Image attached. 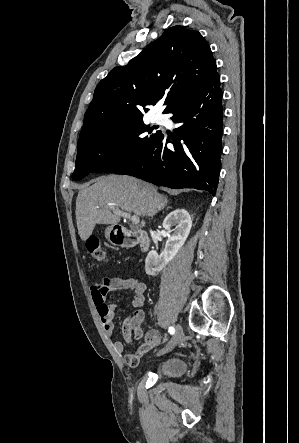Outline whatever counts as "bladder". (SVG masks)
I'll use <instances>...</instances> for the list:
<instances>
[{
    "label": "bladder",
    "mask_w": 299,
    "mask_h": 443,
    "mask_svg": "<svg viewBox=\"0 0 299 443\" xmlns=\"http://www.w3.org/2000/svg\"><path fill=\"white\" fill-rule=\"evenodd\" d=\"M187 369L184 359L169 357L162 360L157 367V374L164 378H177L182 376Z\"/></svg>",
    "instance_id": "31cf9c89"
}]
</instances>
